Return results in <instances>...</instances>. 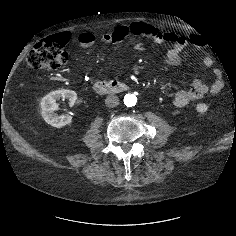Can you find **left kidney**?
Returning <instances> with one entry per match:
<instances>
[{
    "label": "left kidney",
    "mask_w": 236,
    "mask_h": 236,
    "mask_svg": "<svg viewBox=\"0 0 236 236\" xmlns=\"http://www.w3.org/2000/svg\"><path fill=\"white\" fill-rule=\"evenodd\" d=\"M208 108L209 106L205 103H201L196 106V110L201 114H204L208 110Z\"/></svg>",
    "instance_id": "5707ae66"
}]
</instances>
